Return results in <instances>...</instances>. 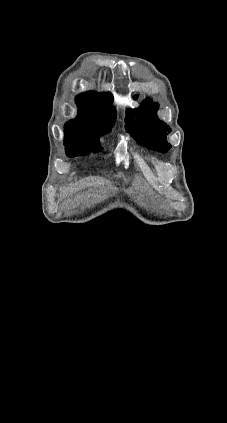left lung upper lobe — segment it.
Segmentation results:
<instances>
[{
    "instance_id": "left-lung-upper-lobe-1",
    "label": "left lung upper lobe",
    "mask_w": 227,
    "mask_h": 423,
    "mask_svg": "<svg viewBox=\"0 0 227 423\" xmlns=\"http://www.w3.org/2000/svg\"><path fill=\"white\" fill-rule=\"evenodd\" d=\"M158 105L146 99L139 109H128L125 122L135 132V138L141 139L143 144L153 150L165 153L171 146L166 140L170 128L156 116ZM134 115L137 120L134 121Z\"/></svg>"
}]
</instances>
